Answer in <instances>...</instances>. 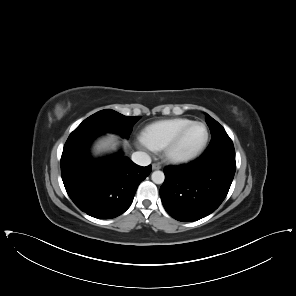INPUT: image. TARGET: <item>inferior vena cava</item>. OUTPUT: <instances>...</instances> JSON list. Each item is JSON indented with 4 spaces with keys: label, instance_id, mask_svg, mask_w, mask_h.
Listing matches in <instances>:
<instances>
[{
    "label": "inferior vena cava",
    "instance_id": "obj_1",
    "mask_svg": "<svg viewBox=\"0 0 296 296\" xmlns=\"http://www.w3.org/2000/svg\"><path fill=\"white\" fill-rule=\"evenodd\" d=\"M132 161L140 166H147L151 163L150 156L142 151H137L132 154Z\"/></svg>",
    "mask_w": 296,
    "mask_h": 296
}]
</instances>
